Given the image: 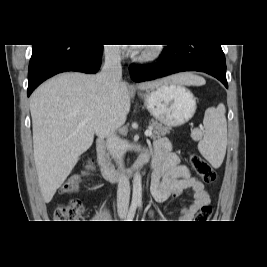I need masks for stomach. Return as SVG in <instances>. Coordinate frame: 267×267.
<instances>
[{
    "instance_id": "obj_1",
    "label": "stomach",
    "mask_w": 267,
    "mask_h": 267,
    "mask_svg": "<svg viewBox=\"0 0 267 267\" xmlns=\"http://www.w3.org/2000/svg\"><path fill=\"white\" fill-rule=\"evenodd\" d=\"M143 96L150 114L166 126L188 122L197 107L194 95L181 84L163 83L147 89Z\"/></svg>"
}]
</instances>
